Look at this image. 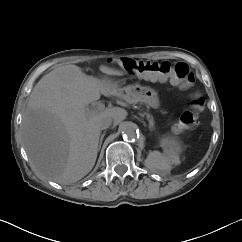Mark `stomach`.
<instances>
[{"instance_id": "stomach-1", "label": "stomach", "mask_w": 242, "mask_h": 242, "mask_svg": "<svg viewBox=\"0 0 242 242\" xmlns=\"http://www.w3.org/2000/svg\"><path fill=\"white\" fill-rule=\"evenodd\" d=\"M122 91L127 100H131L135 103L143 102L154 109H157L160 106L158 92L148 86L135 84L122 88ZM161 145L166 149L176 151H180L181 149L179 144H176L169 139H162Z\"/></svg>"}]
</instances>
